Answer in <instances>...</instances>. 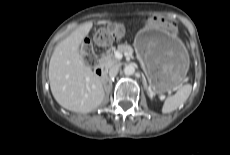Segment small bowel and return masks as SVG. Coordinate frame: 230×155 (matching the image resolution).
I'll use <instances>...</instances> for the list:
<instances>
[{"instance_id":"obj_1","label":"small bowel","mask_w":230,"mask_h":155,"mask_svg":"<svg viewBox=\"0 0 230 155\" xmlns=\"http://www.w3.org/2000/svg\"><path fill=\"white\" fill-rule=\"evenodd\" d=\"M145 24L151 28L164 29L170 36H177L180 33V28L167 18L147 15L145 17Z\"/></svg>"}]
</instances>
